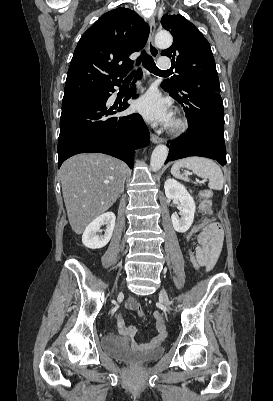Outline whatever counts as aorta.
Listing matches in <instances>:
<instances>
[{
    "label": "aorta",
    "mask_w": 273,
    "mask_h": 401,
    "mask_svg": "<svg viewBox=\"0 0 273 401\" xmlns=\"http://www.w3.org/2000/svg\"><path fill=\"white\" fill-rule=\"evenodd\" d=\"M155 45L158 48H169L173 42V38L170 33L166 31H160L155 36ZM168 156V147L165 145H158L152 152L150 159V168L152 171H158L165 163Z\"/></svg>",
    "instance_id": "762f6f07"
}]
</instances>
